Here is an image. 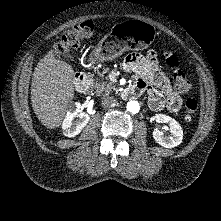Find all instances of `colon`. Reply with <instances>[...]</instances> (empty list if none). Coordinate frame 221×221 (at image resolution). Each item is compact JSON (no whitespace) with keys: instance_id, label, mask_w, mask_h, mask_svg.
<instances>
[{"instance_id":"obj_1","label":"colon","mask_w":221,"mask_h":221,"mask_svg":"<svg viewBox=\"0 0 221 221\" xmlns=\"http://www.w3.org/2000/svg\"><path fill=\"white\" fill-rule=\"evenodd\" d=\"M95 30V22L93 20H85L70 29L64 31L56 45L58 54H69L73 49L77 48L83 39L92 36ZM151 60H155L157 55L154 52L147 54ZM167 67L169 68L176 87L182 93L191 92V84L181 69L177 58L169 52L162 54ZM198 102L194 98H188L185 102V119L190 120L197 112Z\"/></svg>"}]
</instances>
